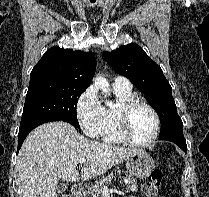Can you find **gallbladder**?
I'll list each match as a JSON object with an SVG mask.
<instances>
[{"mask_svg": "<svg viewBox=\"0 0 209 197\" xmlns=\"http://www.w3.org/2000/svg\"><path fill=\"white\" fill-rule=\"evenodd\" d=\"M66 189H67V184H60V185L58 186L57 191L60 193V192L65 191Z\"/></svg>", "mask_w": 209, "mask_h": 197, "instance_id": "obj_1", "label": "gallbladder"}]
</instances>
